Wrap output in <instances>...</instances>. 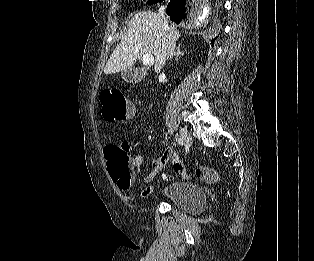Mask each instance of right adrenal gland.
<instances>
[{
  "label": "right adrenal gland",
  "instance_id": "right-adrenal-gland-1",
  "mask_svg": "<svg viewBox=\"0 0 314 261\" xmlns=\"http://www.w3.org/2000/svg\"><path fill=\"white\" fill-rule=\"evenodd\" d=\"M183 55H184V52H182V51L180 50V44H179L178 47H177V52H176L175 60L177 61L178 58H179L180 56H183Z\"/></svg>",
  "mask_w": 314,
  "mask_h": 261
}]
</instances>
